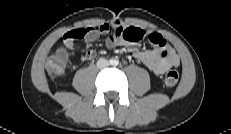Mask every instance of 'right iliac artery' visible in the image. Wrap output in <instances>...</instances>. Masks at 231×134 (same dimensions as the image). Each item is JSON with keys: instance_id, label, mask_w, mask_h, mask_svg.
<instances>
[{"instance_id": "obj_1", "label": "right iliac artery", "mask_w": 231, "mask_h": 134, "mask_svg": "<svg viewBox=\"0 0 231 134\" xmlns=\"http://www.w3.org/2000/svg\"><path fill=\"white\" fill-rule=\"evenodd\" d=\"M110 63L113 64V60H110Z\"/></svg>"}]
</instances>
